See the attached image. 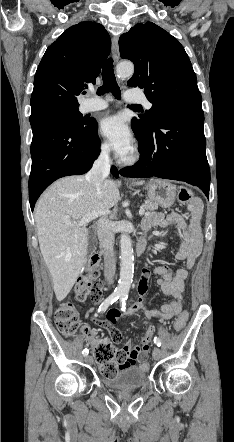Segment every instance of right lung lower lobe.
Segmentation results:
<instances>
[{"label":"right lung lower lobe","mask_w":234,"mask_h":442,"mask_svg":"<svg viewBox=\"0 0 234 442\" xmlns=\"http://www.w3.org/2000/svg\"><path fill=\"white\" fill-rule=\"evenodd\" d=\"M32 167L29 178V201L33 211L41 193L58 178L85 174L100 152L97 122L75 127L61 118H41L31 122ZM111 173L118 177L115 167Z\"/></svg>","instance_id":"obj_1"}]
</instances>
